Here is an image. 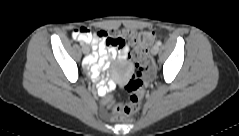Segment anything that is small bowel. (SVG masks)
I'll use <instances>...</instances> for the list:
<instances>
[{"label":"small bowel","mask_w":239,"mask_h":136,"mask_svg":"<svg viewBox=\"0 0 239 136\" xmlns=\"http://www.w3.org/2000/svg\"><path fill=\"white\" fill-rule=\"evenodd\" d=\"M134 35L135 33L129 30H123L121 33V36L125 38H132ZM73 36L75 38V34H73ZM78 41L83 43H92L93 45L94 53L88 57L86 62L90 66V74L94 79H97L99 75L110 66L111 61L117 55L124 61L128 60L130 47L126 42L121 47L108 46L106 43V37H100L98 32L91 33L90 38L88 39ZM99 89L101 92L106 94L115 89V84L112 82H101L99 84ZM103 104L111 106L113 104V98L107 95L103 99Z\"/></svg>","instance_id":"c3829d8e"}]
</instances>
